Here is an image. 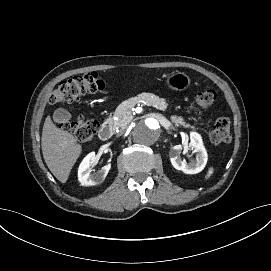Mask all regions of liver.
I'll list each match as a JSON object with an SVG mask.
<instances>
[{
	"instance_id": "obj_1",
	"label": "liver",
	"mask_w": 271,
	"mask_h": 271,
	"mask_svg": "<svg viewBox=\"0 0 271 271\" xmlns=\"http://www.w3.org/2000/svg\"><path fill=\"white\" fill-rule=\"evenodd\" d=\"M41 146L49 170L61 183H65L82 151L81 145L72 134L57 128L48 116L43 125Z\"/></svg>"
}]
</instances>
